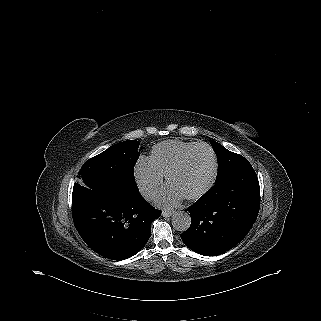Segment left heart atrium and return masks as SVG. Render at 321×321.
I'll return each mask as SVG.
<instances>
[{
  "mask_svg": "<svg viewBox=\"0 0 321 321\" xmlns=\"http://www.w3.org/2000/svg\"><path fill=\"white\" fill-rule=\"evenodd\" d=\"M184 195L177 191L174 187L168 186L157 198V203L164 208H171L179 205Z\"/></svg>",
  "mask_w": 321,
  "mask_h": 321,
  "instance_id": "1",
  "label": "left heart atrium"
}]
</instances>
